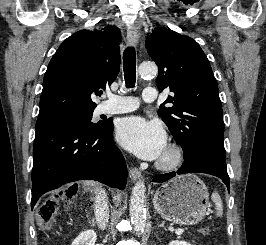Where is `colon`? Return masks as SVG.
Returning a JSON list of instances; mask_svg holds the SVG:
<instances>
[{
    "mask_svg": "<svg viewBox=\"0 0 266 245\" xmlns=\"http://www.w3.org/2000/svg\"><path fill=\"white\" fill-rule=\"evenodd\" d=\"M64 202V196L59 195L46 199L40 205L38 208V223L41 228L49 229L54 224V219ZM200 234L208 236L210 234V229L208 227H203L200 229Z\"/></svg>",
    "mask_w": 266,
    "mask_h": 245,
    "instance_id": "1",
    "label": "colon"
}]
</instances>
